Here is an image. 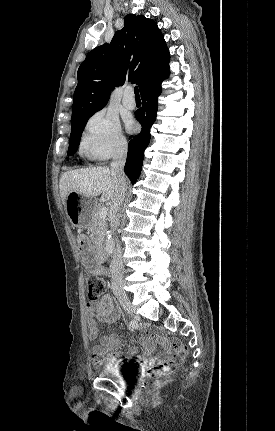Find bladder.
<instances>
[{
  "label": "bladder",
  "instance_id": "31cf9c89",
  "mask_svg": "<svg viewBox=\"0 0 275 431\" xmlns=\"http://www.w3.org/2000/svg\"><path fill=\"white\" fill-rule=\"evenodd\" d=\"M102 373L104 375H109L112 377L118 384L126 383L129 366L128 363H124L121 361H117L114 363H107L102 367Z\"/></svg>",
  "mask_w": 275,
  "mask_h": 431
}]
</instances>
